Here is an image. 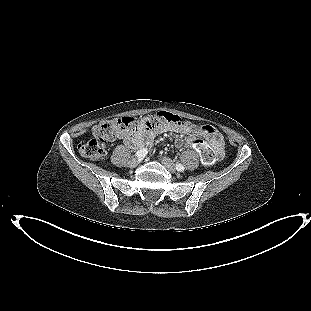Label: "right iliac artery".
<instances>
[{"mask_svg": "<svg viewBox=\"0 0 311 311\" xmlns=\"http://www.w3.org/2000/svg\"><path fill=\"white\" fill-rule=\"evenodd\" d=\"M148 153L147 149L143 148L139 151L136 152L135 156L138 158V159H142L146 156V154Z\"/></svg>", "mask_w": 311, "mask_h": 311, "instance_id": "1", "label": "right iliac artery"}]
</instances>
